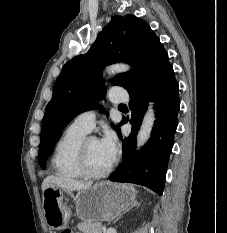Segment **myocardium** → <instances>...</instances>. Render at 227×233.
Returning <instances> with one entry per match:
<instances>
[{
  "instance_id": "obj_1",
  "label": "myocardium",
  "mask_w": 227,
  "mask_h": 233,
  "mask_svg": "<svg viewBox=\"0 0 227 233\" xmlns=\"http://www.w3.org/2000/svg\"><path fill=\"white\" fill-rule=\"evenodd\" d=\"M90 139H84L79 148H78V153H77V165L78 168L80 170V172L82 173L83 176L88 177V178H103L106 177L114 168L115 164H116V159L114 158L112 160V162L110 163V165L105 168L102 171H95L93 170L88 162V151H87V147H88V142Z\"/></svg>"
}]
</instances>
